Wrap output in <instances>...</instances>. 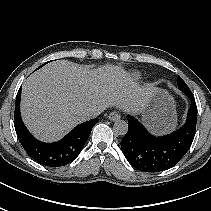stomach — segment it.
<instances>
[{
    "instance_id": "stomach-1",
    "label": "stomach",
    "mask_w": 211,
    "mask_h": 211,
    "mask_svg": "<svg viewBox=\"0 0 211 211\" xmlns=\"http://www.w3.org/2000/svg\"><path fill=\"white\" fill-rule=\"evenodd\" d=\"M142 121L155 134H164L176 126L173 97L164 89L155 88L142 112Z\"/></svg>"
}]
</instances>
